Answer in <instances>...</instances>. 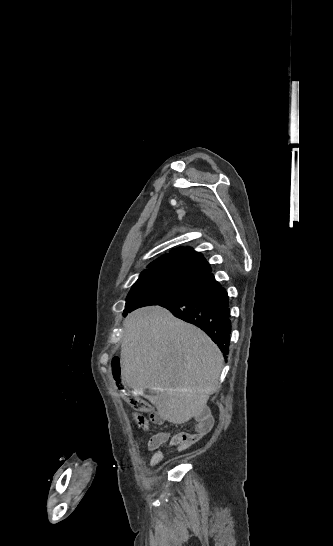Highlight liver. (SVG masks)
Masks as SVG:
<instances>
[{"label":"liver","instance_id":"1","mask_svg":"<svg viewBox=\"0 0 333 546\" xmlns=\"http://www.w3.org/2000/svg\"><path fill=\"white\" fill-rule=\"evenodd\" d=\"M124 384L143 395L165 420L183 424L199 417L219 386L223 355L199 328L160 306L133 311L124 321Z\"/></svg>","mask_w":333,"mask_h":546}]
</instances>
